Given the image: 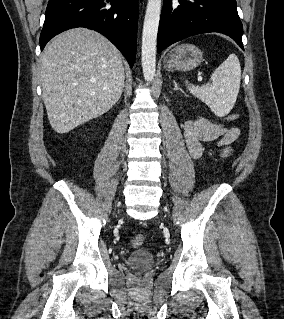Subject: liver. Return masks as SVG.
<instances>
[{"instance_id": "obj_1", "label": "liver", "mask_w": 284, "mask_h": 319, "mask_svg": "<svg viewBox=\"0 0 284 319\" xmlns=\"http://www.w3.org/2000/svg\"><path fill=\"white\" fill-rule=\"evenodd\" d=\"M121 53L101 34L86 28L65 31L45 47L41 59L43 101L60 134L115 105L124 87Z\"/></svg>"}]
</instances>
